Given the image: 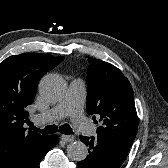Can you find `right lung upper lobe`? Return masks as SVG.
Instances as JSON below:
<instances>
[{
    "label": "right lung upper lobe",
    "mask_w": 168,
    "mask_h": 168,
    "mask_svg": "<svg viewBox=\"0 0 168 168\" xmlns=\"http://www.w3.org/2000/svg\"><path fill=\"white\" fill-rule=\"evenodd\" d=\"M63 59L24 53L0 63V168H18L50 137L26 131L25 108L33 103L41 77Z\"/></svg>",
    "instance_id": "cb5924a9"
}]
</instances>
